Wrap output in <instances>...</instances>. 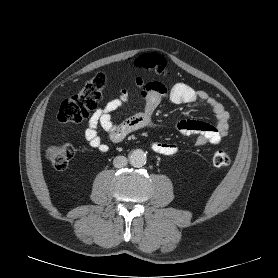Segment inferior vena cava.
<instances>
[{
    "instance_id": "inferior-vena-cava-1",
    "label": "inferior vena cava",
    "mask_w": 278,
    "mask_h": 278,
    "mask_svg": "<svg viewBox=\"0 0 278 278\" xmlns=\"http://www.w3.org/2000/svg\"><path fill=\"white\" fill-rule=\"evenodd\" d=\"M127 158L124 157V156H117L114 158L113 160V165L116 167V168H122V167H125L127 165Z\"/></svg>"
}]
</instances>
